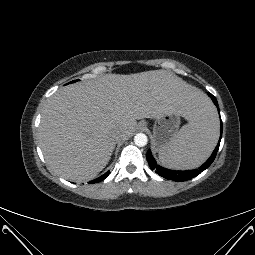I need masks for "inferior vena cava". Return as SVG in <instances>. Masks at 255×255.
<instances>
[{
  "mask_svg": "<svg viewBox=\"0 0 255 255\" xmlns=\"http://www.w3.org/2000/svg\"><path fill=\"white\" fill-rule=\"evenodd\" d=\"M113 138L116 140V141H121L122 138H123V135L119 132V131H116L113 133Z\"/></svg>",
  "mask_w": 255,
  "mask_h": 255,
  "instance_id": "1",
  "label": "inferior vena cava"
}]
</instances>
